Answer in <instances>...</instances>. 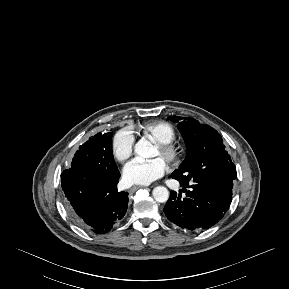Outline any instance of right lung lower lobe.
Returning <instances> with one entry per match:
<instances>
[{"label":"right lung lower lobe","instance_id":"1","mask_svg":"<svg viewBox=\"0 0 289 289\" xmlns=\"http://www.w3.org/2000/svg\"><path fill=\"white\" fill-rule=\"evenodd\" d=\"M118 168L108 173H89L68 169L61 175L67 210L85 230L109 232L124 217L128 193L117 191Z\"/></svg>","mask_w":289,"mask_h":289}]
</instances>
